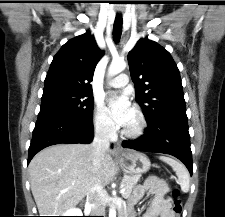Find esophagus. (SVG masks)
I'll return each instance as SVG.
<instances>
[{
  "label": "esophagus",
  "mask_w": 225,
  "mask_h": 217,
  "mask_svg": "<svg viewBox=\"0 0 225 217\" xmlns=\"http://www.w3.org/2000/svg\"><path fill=\"white\" fill-rule=\"evenodd\" d=\"M115 151H116V154L122 153V146L120 145V143H117Z\"/></svg>",
  "instance_id": "esophagus-1"
}]
</instances>
